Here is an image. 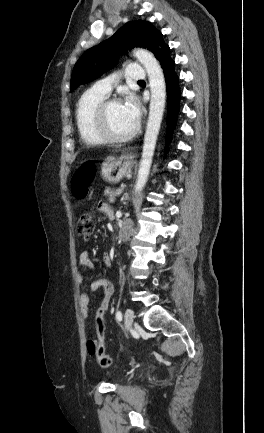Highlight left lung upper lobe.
<instances>
[{
  "label": "left lung upper lobe",
  "instance_id": "1",
  "mask_svg": "<svg viewBox=\"0 0 264 433\" xmlns=\"http://www.w3.org/2000/svg\"><path fill=\"white\" fill-rule=\"evenodd\" d=\"M135 46L152 51L158 60L169 53V46L164 43L161 32L150 22H127L109 39L87 50L77 61L71 77V91L111 69L121 51L126 53Z\"/></svg>",
  "mask_w": 264,
  "mask_h": 433
}]
</instances>
